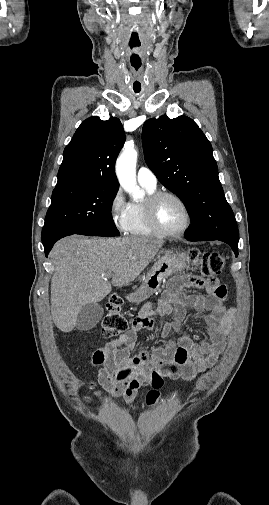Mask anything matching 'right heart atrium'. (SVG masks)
<instances>
[{"instance_id":"1","label":"right heart atrium","mask_w":269,"mask_h":505,"mask_svg":"<svg viewBox=\"0 0 269 505\" xmlns=\"http://www.w3.org/2000/svg\"><path fill=\"white\" fill-rule=\"evenodd\" d=\"M110 219L116 229L126 231L129 218V203L126 201L122 189L113 193L108 204Z\"/></svg>"}]
</instances>
